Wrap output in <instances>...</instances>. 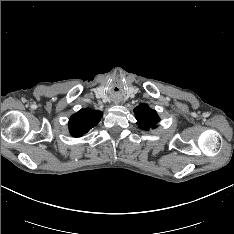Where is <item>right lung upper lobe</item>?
<instances>
[{"instance_id": "1", "label": "right lung upper lobe", "mask_w": 234, "mask_h": 234, "mask_svg": "<svg viewBox=\"0 0 234 234\" xmlns=\"http://www.w3.org/2000/svg\"><path fill=\"white\" fill-rule=\"evenodd\" d=\"M102 117V112L91 109H81L71 116L69 120L70 134L74 137H81L92 129Z\"/></svg>"}]
</instances>
